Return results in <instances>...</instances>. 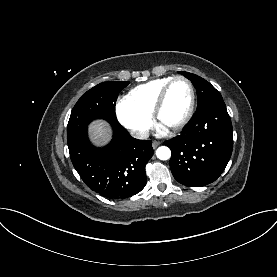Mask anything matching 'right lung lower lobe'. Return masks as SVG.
Masks as SVG:
<instances>
[{"instance_id": "1", "label": "right lung lower lobe", "mask_w": 277, "mask_h": 277, "mask_svg": "<svg viewBox=\"0 0 277 277\" xmlns=\"http://www.w3.org/2000/svg\"><path fill=\"white\" fill-rule=\"evenodd\" d=\"M113 139L105 147H94L87 128L67 140L74 168L91 190L109 199H122L146 185L145 165L154 151L152 142L130 136L119 123L111 124Z\"/></svg>"}]
</instances>
